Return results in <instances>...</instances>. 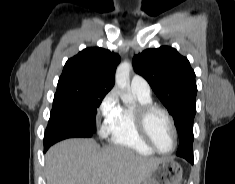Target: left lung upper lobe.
<instances>
[{"label":"left lung upper lobe","instance_id":"left-lung-upper-lobe-1","mask_svg":"<svg viewBox=\"0 0 235 184\" xmlns=\"http://www.w3.org/2000/svg\"><path fill=\"white\" fill-rule=\"evenodd\" d=\"M132 64L174 118L179 135L177 156L193 157L197 86L188 59L176 49L162 46L135 55Z\"/></svg>","mask_w":235,"mask_h":184}]
</instances>
